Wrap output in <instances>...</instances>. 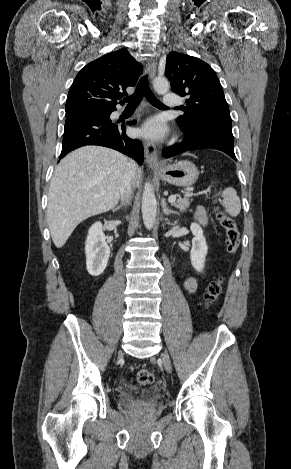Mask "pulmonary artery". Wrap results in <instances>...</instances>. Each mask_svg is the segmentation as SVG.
Returning a JSON list of instances; mask_svg holds the SVG:
<instances>
[{"label": "pulmonary artery", "instance_id": "e3ab8cb5", "mask_svg": "<svg viewBox=\"0 0 291 469\" xmlns=\"http://www.w3.org/2000/svg\"><path fill=\"white\" fill-rule=\"evenodd\" d=\"M163 103L166 107H175L179 104L178 96L174 93H166L164 95Z\"/></svg>", "mask_w": 291, "mask_h": 469}]
</instances>
